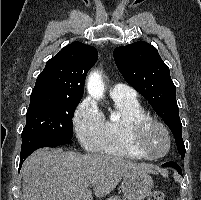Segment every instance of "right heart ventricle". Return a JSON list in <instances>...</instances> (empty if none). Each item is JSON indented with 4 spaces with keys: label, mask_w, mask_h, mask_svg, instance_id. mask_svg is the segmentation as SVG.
<instances>
[{
    "label": "right heart ventricle",
    "mask_w": 201,
    "mask_h": 200,
    "mask_svg": "<svg viewBox=\"0 0 201 200\" xmlns=\"http://www.w3.org/2000/svg\"><path fill=\"white\" fill-rule=\"evenodd\" d=\"M112 97L116 117L103 118L101 146L97 152L130 159L144 157L132 147L129 141V125L137 118L146 116V112L136 98Z\"/></svg>",
    "instance_id": "obj_1"
}]
</instances>
